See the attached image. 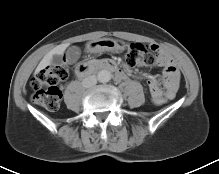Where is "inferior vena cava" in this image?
Here are the masks:
<instances>
[{
	"instance_id": "obj_1",
	"label": "inferior vena cava",
	"mask_w": 219,
	"mask_h": 174,
	"mask_svg": "<svg viewBox=\"0 0 219 174\" xmlns=\"http://www.w3.org/2000/svg\"><path fill=\"white\" fill-rule=\"evenodd\" d=\"M96 84H97V77L95 75L87 76L82 81V85L85 88H93Z\"/></svg>"
}]
</instances>
